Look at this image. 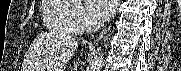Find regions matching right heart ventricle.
Segmentation results:
<instances>
[{
	"mask_svg": "<svg viewBox=\"0 0 181 71\" xmlns=\"http://www.w3.org/2000/svg\"><path fill=\"white\" fill-rule=\"evenodd\" d=\"M71 8L69 4L62 1H44L43 17L45 25L55 31L72 33L67 20V14Z\"/></svg>",
	"mask_w": 181,
	"mask_h": 71,
	"instance_id": "e07e8e85",
	"label": "right heart ventricle"
}]
</instances>
